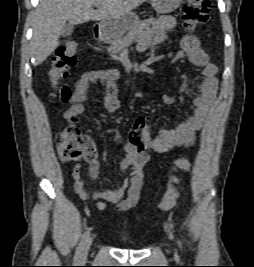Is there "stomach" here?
I'll return each instance as SVG.
<instances>
[{
  "label": "stomach",
  "mask_w": 254,
  "mask_h": 267,
  "mask_svg": "<svg viewBox=\"0 0 254 267\" xmlns=\"http://www.w3.org/2000/svg\"><path fill=\"white\" fill-rule=\"evenodd\" d=\"M183 0H152V7L157 13L167 14L175 11ZM139 23V17L133 12L117 19L101 21L98 25L99 38L105 42H111L115 38H121Z\"/></svg>",
  "instance_id": "stomach-1"
}]
</instances>
